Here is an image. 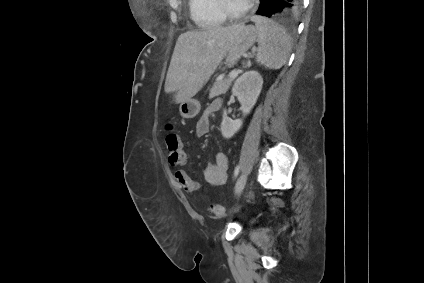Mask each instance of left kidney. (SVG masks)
Listing matches in <instances>:
<instances>
[{
  "label": "left kidney",
  "instance_id": "obj_1",
  "mask_svg": "<svg viewBox=\"0 0 424 283\" xmlns=\"http://www.w3.org/2000/svg\"><path fill=\"white\" fill-rule=\"evenodd\" d=\"M263 86V79L257 71H247L241 75L233 85L232 93L237 97L241 104L243 117L247 116L260 95ZM243 120H232L227 116L226 110L223 111L221 122V133L226 139L233 137L242 127Z\"/></svg>",
  "mask_w": 424,
  "mask_h": 283
}]
</instances>
